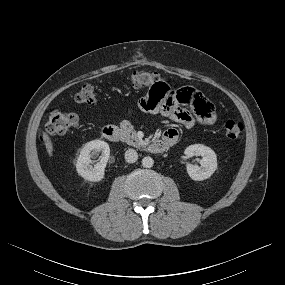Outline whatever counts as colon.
Masks as SVG:
<instances>
[{"mask_svg":"<svg viewBox=\"0 0 285 285\" xmlns=\"http://www.w3.org/2000/svg\"><path fill=\"white\" fill-rule=\"evenodd\" d=\"M162 78L158 73L151 71H134L130 81L134 88H148L149 82L154 78ZM78 103L85 105H94L97 102L94 86L84 84L79 92L75 95ZM80 126L79 118L71 113H66L58 109L50 110L46 130L52 135H65L72 132ZM224 134L228 139L236 140L243 133V125L237 121H227L223 126Z\"/></svg>","mask_w":285,"mask_h":285,"instance_id":"obj_1","label":"colon"}]
</instances>
